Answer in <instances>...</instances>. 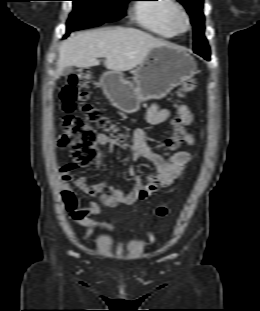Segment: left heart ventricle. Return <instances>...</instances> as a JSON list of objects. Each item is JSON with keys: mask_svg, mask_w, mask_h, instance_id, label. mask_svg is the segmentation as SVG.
I'll use <instances>...</instances> for the list:
<instances>
[{"mask_svg": "<svg viewBox=\"0 0 260 311\" xmlns=\"http://www.w3.org/2000/svg\"><path fill=\"white\" fill-rule=\"evenodd\" d=\"M180 27H184V23L182 21L179 22Z\"/></svg>", "mask_w": 260, "mask_h": 311, "instance_id": "obj_1", "label": "left heart ventricle"}]
</instances>
